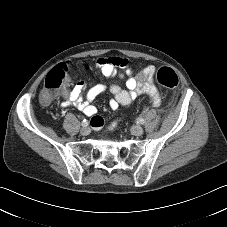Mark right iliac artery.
<instances>
[{
	"instance_id": "obj_1",
	"label": "right iliac artery",
	"mask_w": 227,
	"mask_h": 227,
	"mask_svg": "<svg viewBox=\"0 0 227 227\" xmlns=\"http://www.w3.org/2000/svg\"><path fill=\"white\" fill-rule=\"evenodd\" d=\"M82 126L85 127V126H88V121L86 119H84L82 121Z\"/></svg>"
}]
</instances>
